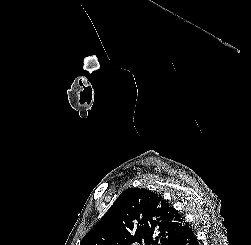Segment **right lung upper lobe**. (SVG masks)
I'll return each instance as SVG.
<instances>
[{
	"label": "right lung upper lobe",
	"instance_id": "right-lung-upper-lobe-1",
	"mask_svg": "<svg viewBox=\"0 0 251 245\" xmlns=\"http://www.w3.org/2000/svg\"><path fill=\"white\" fill-rule=\"evenodd\" d=\"M189 229L182 215L144 188L120 194L80 245H166Z\"/></svg>",
	"mask_w": 251,
	"mask_h": 245
}]
</instances>
